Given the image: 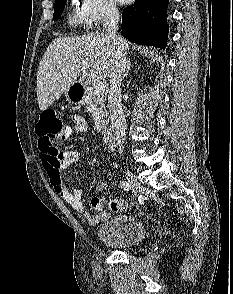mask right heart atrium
Listing matches in <instances>:
<instances>
[{"label":"right heart atrium","instance_id":"right-heart-atrium-1","mask_svg":"<svg viewBox=\"0 0 233 294\" xmlns=\"http://www.w3.org/2000/svg\"><path fill=\"white\" fill-rule=\"evenodd\" d=\"M79 11L88 28H100L119 16L113 0H81Z\"/></svg>","mask_w":233,"mask_h":294}]
</instances>
